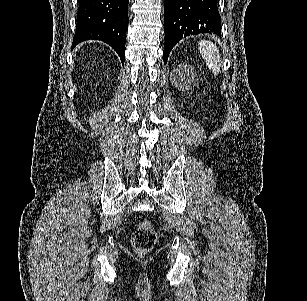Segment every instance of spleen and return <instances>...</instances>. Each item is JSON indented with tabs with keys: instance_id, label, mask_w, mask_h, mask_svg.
Returning a JSON list of instances; mask_svg holds the SVG:
<instances>
[{
	"instance_id": "spleen-1",
	"label": "spleen",
	"mask_w": 307,
	"mask_h": 301,
	"mask_svg": "<svg viewBox=\"0 0 307 301\" xmlns=\"http://www.w3.org/2000/svg\"><path fill=\"white\" fill-rule=\"evenodd\" d=\"M198 48L202 58H204L208 68L217 76L220 72L221 56L218 46L211 40H199Z\"/></svg>"
}]
</instances>
